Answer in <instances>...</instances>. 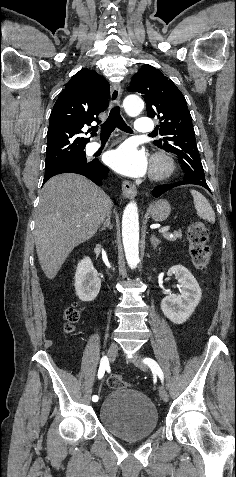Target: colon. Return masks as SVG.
<instances>
[{
  "mask_svg": "<svg viewBox=\"0 0 236 477\" xmlns=\"http://www.w3.org/2000/svg\"><path fill=\"white\" fill-rule=\"evenodd\" d=\"M187 239L189 243V254L194 266L198 269L207 267L211 250L209 246V228L202 222L192 224L187 231ZM66 332H71L73 325L78 322L80 318V310L78 305L69 306L64 311ZM107 384L112 389L126 388L129 384L119 375H110L107 379Z\"/></svg>",
  "mask_w": 236,
  "mask_h": 477,
  "instance_id": "obj_1",
  "label": "colon"
}]
</instances>
